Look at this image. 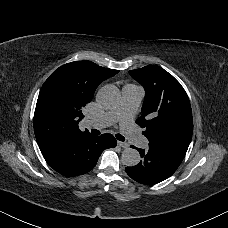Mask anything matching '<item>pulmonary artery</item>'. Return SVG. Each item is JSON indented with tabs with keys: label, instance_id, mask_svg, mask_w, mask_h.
<instances>
[{
	"label": "pulmonary artery",
	"instance_id": "e3ab8cb5",
	"mask_svg": "<svg viewBox=\"0 0 228 228\" xmlns=\"http://www.w3.org/2000/svg\"><path fill=\"white\" fill-rule=\"evenodd\" d=\"M124 97L127 101L123 105L120 103V106L113 113H109L103 117V126H109L116 121L122 120L120 133L133 145L144 147L146 145V138L133 129V122L137 113V104L141 98V93L137 89H127L124 92Z\"/></svg>",
	"mask_w": 228,
	"mask_h": 228
}]
</instances>
